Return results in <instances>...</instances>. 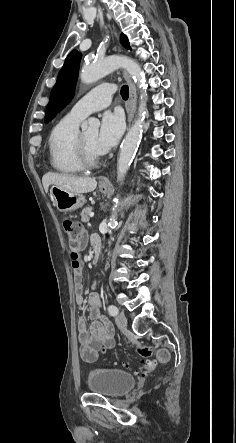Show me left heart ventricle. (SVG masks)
<instances>
[{
  "mask_svg": "<svg viewBox=\"0 0 236 443\" xmlns=\"http://www.w3.org/2000/svg\"><path fill=\"white\" fill-rule=\"evenodd\" d=\"M82 133H83V137H84V140L86 142L88 149L93 153H97L96 148H95L97 129L90 128V129L84 130Z\"/></svg>",
  "mask_w": 236,
  "mask_h": 443,
  "instance_id": "b2bd125f",
  "label": "left heart ventricle"
}]
</instances>
